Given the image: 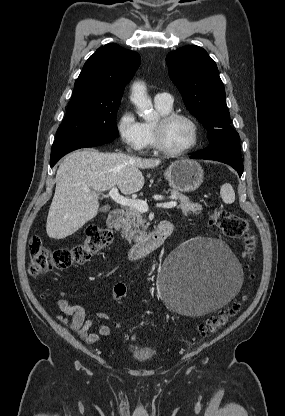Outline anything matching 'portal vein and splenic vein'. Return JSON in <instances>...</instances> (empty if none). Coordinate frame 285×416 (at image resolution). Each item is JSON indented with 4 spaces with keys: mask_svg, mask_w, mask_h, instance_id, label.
Instances as JSON below:
<instances>
[{
    "mask_svg": "<svg viewBox=\"0 0 285 416\" xmlns=\"http://www.w3.org/2000/svg\"><path fill=\"white\" fill-rule=\"evenodd\" d=\"M108 196H110L111 200H114L116 204H121V206H131V208H135L138 212H148L146 202H143V200H130V198H124V196H120L117 188H111ZM156 206L157 208H175L177 202H164V204H156Z\"/></svg>",
    "mask_w": 285,
    "mask_h": 416,
    "instance_id": "portal-vein-and-splenic-vein-1",
    "label": "portal vein and splenic vein"
}]
</instances>
